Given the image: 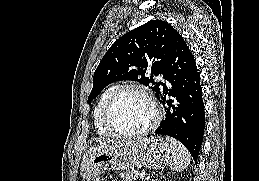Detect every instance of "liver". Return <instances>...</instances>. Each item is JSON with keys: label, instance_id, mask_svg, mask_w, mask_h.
<instances>
[{"label": "liver", "instance_id": "1", "mask_svg": "<svg viewBox=\"0 0 259 181\" xmlns=\"http://www.w3.org/2000/svg\"><path fill=\"white\" fill-rule=\"evenodd\" d=\"M126 143H128V142H126ZM126 143H124V142H117V141H104V140H100L98 145H96V146H109L111 144L123 145V144H126Z\"/></svg>", "mask_w": 259, "mask_h": 181}]
</instances>
